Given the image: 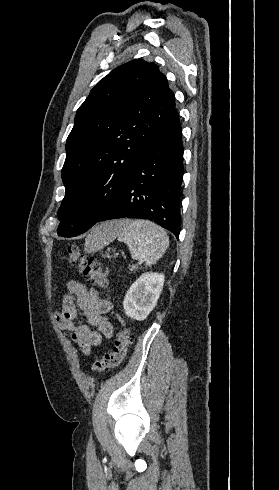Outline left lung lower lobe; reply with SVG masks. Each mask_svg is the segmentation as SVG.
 Instances as JSON below:
<instances>
[{"instance_id":"obj_1","label":"left lung lower lobe","mask_w":279,"mask_h":490,"mask_svg":"<svg viewBox=\"0 0 279 490\" xmlns=\"http://www.w3.org/2000/svg\"><path fill=\"white\" fill-rule=\"evenodd\" d=\"M183 173L182 129L175 109L144 144L113 207L99 221L148 219L178 239Z\"/></svg>"}]
</instances>
